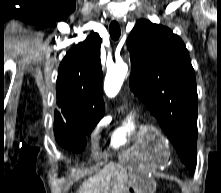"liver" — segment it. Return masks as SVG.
Listing matches in <instances>:
<instances>
[{
	"instance_id": "1",
	"label": "liver",
	"mask_w": 221,
	"mask_h": 193,
	"mask_svg": "<svg viewBox=\"0 0 221 193\" xmlns=\"http://www.w3.org/2000/svg\"><path fill=\"white\" fill-rule=\"evenodd\" d=\"M127 181V170L119 164L110 163L85 180L78 193H123Z\"/></svg>"
}]
</instances>
